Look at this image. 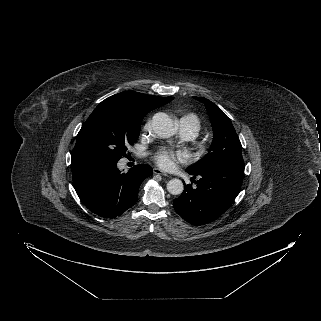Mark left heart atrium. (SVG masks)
<instances>
[{
	"mask_svg": "<svg viewBox=\"0 0 321 321\" xmlns=\"http://www.w3.org/2000/svg\"><path fill=\"white\" fill-rule=\"evenodd\" d=\"M187 154L184 151H175L171 149H163L156 156V162L165 169L172 168L176 161H184Z\"/></svg>",
	"mask_w": 321,
	"mask_h": 321,
	"instance_id": "obj_1",
	"label": "left heart atrium"
}]
</instances>
